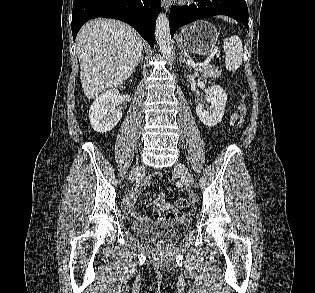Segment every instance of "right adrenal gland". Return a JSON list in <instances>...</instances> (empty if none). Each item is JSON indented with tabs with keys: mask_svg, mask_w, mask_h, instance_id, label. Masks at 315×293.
<instances>
[{
	"mask_svg": "<svg viewBox=\"0 0 315 293\" xmlns=\"http://www.w3.org/2000/svg\"><path fill=\"white\" fill-rule=\"evenodd\" d=\"M139 63H143V54L141 55V58L139 60Z\"/></svg>",
	"mask_w": 315,
	"mask_h": 293,
	"instance_id": "obj_1",
	"label": "right adrenal gland"
}]
</instances>
